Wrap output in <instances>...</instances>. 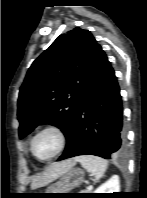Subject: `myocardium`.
<instances>
[{"label":"myocardium","instance_id":"myocardium-1","mask_svg":"<svg viewBox=\"0 0 147 198\" xmlns=\"http://www.w3.org/2000/svg\"><path fill=\"white\" fill-rule=\"evenodd\" d=\"M45 132L55 133L59 139V146H58V149L51 156H49L48 158L42 159V158H39L36 156L34 149H33V144H34L35 139L39 135H41L42 133H45ZM66 144H67V136H66L64 130L57 125H47V126L40 128L32 136V138L30 140V152L36 160H38L40 162H49V161L53 160L54 158H56L57 156H59L63 152V150L66 147Z\"/></svg>","mask_w":147,"mask_h":198}]
</instances>
